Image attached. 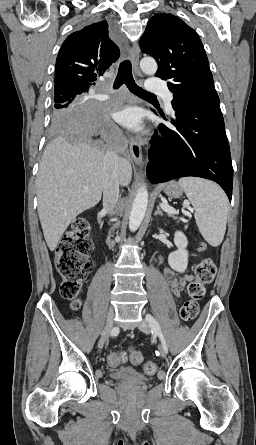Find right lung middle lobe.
Wrapping results in <instances>:
<instances>
[{
  "label": "right lung middle lobe",
  "instance_id": "obj_1",
  "mask_svg": "<svg viewBox=\"0 0 256 445\" xmlns=\"http://www.w3.org/2000/svg\"><path fill=\"white\" fill-rule=\"evenodd\" d=\"M87 99L86 93H68L62 96H54V107L52 116V131L54 133H66L70 138H75L70 128V115Z\"/></svg>",
  "mask_w": 256,
  "mask_h": 445
}]
</instances>
